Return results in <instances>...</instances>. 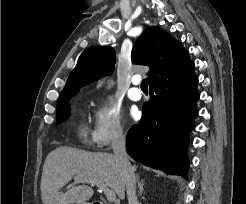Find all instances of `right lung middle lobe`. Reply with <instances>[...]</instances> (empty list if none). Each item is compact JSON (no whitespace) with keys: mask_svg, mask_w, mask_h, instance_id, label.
Listing matches in <instances>:
<instances>
[{"mask_svg":"<svg viewBox=\"0 0 246 204\" xmlns=\"http://www.w3.org/2000/svg\"><path fill=\"white\" fill-rule=\"evenodd\" d=\"M72 97L73 96L59 99L56 110V121L58 124L66 121L70 117V104L68 103V101Z\"/></svg>","mask_w":246,"mask_h":204,"instance_id":"1","label":"right lung middle lobe"}]
</instances>
